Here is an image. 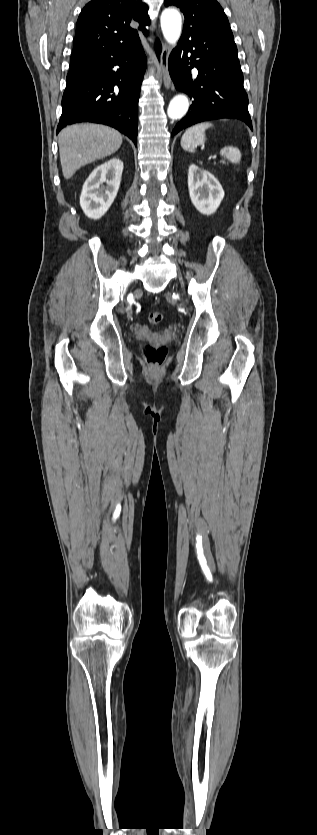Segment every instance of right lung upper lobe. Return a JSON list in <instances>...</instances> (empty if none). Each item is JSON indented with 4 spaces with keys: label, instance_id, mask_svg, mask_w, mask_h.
<instances>
[{
    "label": "right lung upper lobe",
    "instance_id": "right-lung-upper-lobe-1",
    "mask_svg": "<svg viewBox=\"0 0 317 835\" xmlns=\"http://www.w3.org/2000/svg\"><path fill=\"white\" fill-rule=\"evenodd\" d=\"M148 6L137 0H93L81 11L73 52L98 48L117 50L147 33Z\"/></svg>",
    "mask_w": 317,
    "mask_h": 835
}]
</instances>
